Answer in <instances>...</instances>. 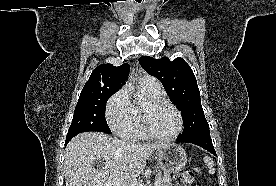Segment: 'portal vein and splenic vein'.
<instances>
[{"mask_svg": "<svg viewBox=\"0 0 276 186\" xmlns=\"http://www.w3.org/2000/svg\"><path fill=\"white\" fill-rule=\"evenodd\" d=\"M106 186H119L117 183H115L114 185L112 183H108ZM154 186H158V181L155 180Z\"/></svg>", "mask_w": 276, "mask_h": 186, "instance_id": "1", "label": "portal vein and splenic vein"}]
</instances>
